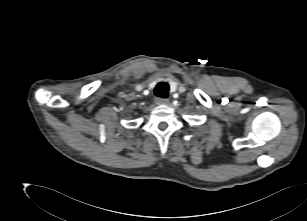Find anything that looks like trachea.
Listing matches in <instances>:
<instances>
[{"label":"trachea","instance_id":"trachea-1","mask_svg":"<svg viewBox=\"0 0 307 221\" xmlns=\"http://www.w3.org/2000/svg\"><path fill=\"white\" fill-rule=\"evenodd\" d=\"M169 93V85L166 82H160L157 84L154 90V94L160 98H167Z\"/></svg>","mask_w":307,"mask_h":221}]
</instances>
